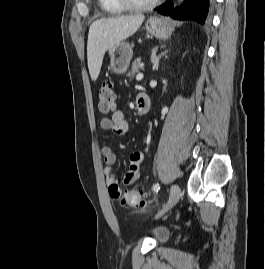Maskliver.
<instances>
[{
    "mask_svg": "<svg viewBox=\"0 0 265 269\" xmlns=\"http://www.w3.org/2000/svg\"><path fill=\"white\" fill-rule=\"evenodd\" d=\"M144 19V15L138 14L101 18L91 24L87 41V61L93 81L99 76L105 52L132 36Z\"/></svg>",
    "mask_w": 265,
    "mask_h": 269,
    "instance_id": "1",
    "label": "liver"
}]
</instances>
